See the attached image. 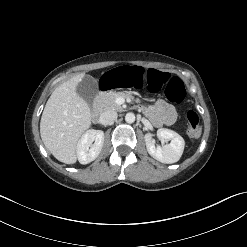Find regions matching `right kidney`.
<instances>
[{
  "label": "right kidney",
  "instance_id": "right-kidney-1",
  "mask_svg": "<svg viewBox=\"0 0 247 247\" xmlns=\"http://www.w3.org/2000/svg\"><path fill=\"white\" fill-rule=\"evenodd\" d=\"M94 142V143H93ZM104 143V132L88 130L79 140L76 153L81 164L94 161L101 152Z\"/></svg>",
  "mask_w": 247,
  "mask_h": 247
}]
</instances>
